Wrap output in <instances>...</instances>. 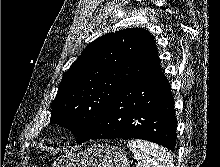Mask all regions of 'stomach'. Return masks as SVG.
I'll return each mask as SVG.
<instances>
[{"instance_id":"0dacf381","label":"stomach","mask_w":220,"mask_h":167,"mask_svg":"<svg viewBox=\"0 0 220 167\" xmlns=\"http://www.w3.org/2000/svg\"><path fill=\"white\" fill-rule=\"evenodd\" d=\"M52 167H129V162L123 149L98 145L63 155L55 160Z\"/></svg>"}]
</instances>
